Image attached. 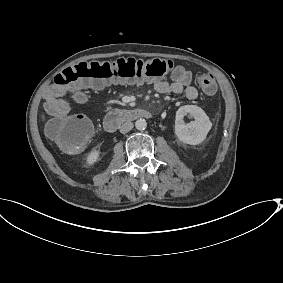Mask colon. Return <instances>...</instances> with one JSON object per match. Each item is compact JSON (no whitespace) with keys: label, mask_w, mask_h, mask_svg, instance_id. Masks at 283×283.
<instances>
[{"label":"colon","mask_w":283,"mask_h":283,"mask_svg":"<svg viewBox=\"0 0 283 283\" xmlns=\"http://www.w3.org/2000/svg\"><path fill=\"white\" fill-rule=\"evenodd\" d=\"M174 69L173 62L165 59L140 60L119 58L113 61L80 63L60 72L54 83L69 87L82 101L83 87L102 88L110 82L135 83L158 80ZM195 82L208 95L217 90L215 78L210 73H198ZM49 137L64 151L82 150L93 134L91 121L82 115L73 114L64 118L53 119L47 127Z\"/></svg>","instance_id":"obj_1"}]
</instances>
